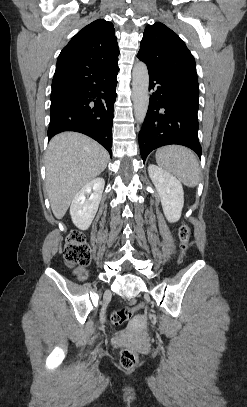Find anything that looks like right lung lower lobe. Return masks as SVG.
I'll return each instance as SVG.
<instances>
[{
  "label": "right lung lower lobe",
  "instance_id": "1",
  "mask_svg": "<svg viewBox=\"0 0 247 407\" xmlns=\"http://www.w3.org/2000/svg\"><path fill=\"white\" fill-rule=\"evenodd\" d=\"M118 71V64L100 69L74 88L51 96L48 141L60 132L76 131L95 139L111 155Z\"/></svg>",
  "mask_w": 247,
  "mask_h": 407
}]
</instances>
